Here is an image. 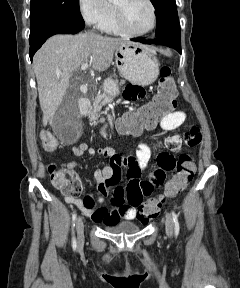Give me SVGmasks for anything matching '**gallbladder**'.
I'll use <instances>...</instances> for the list:
<instances>
[{"instance_id":"1","label":"gallbladder","mask_w":240,"mask_h":288,"mask_svg":"<svg viewBox=\"0 0 240 288\" xmlns=\"http://www.w3.org/2000/svg\"><path fill=\"white\" fill-rule=\"evenodd\" d=\"M76 92L69 89L66 93L63 103L59 106L52 117L53 123H60L69 120L78 113Z\"/></svg>"}]
</instances>
